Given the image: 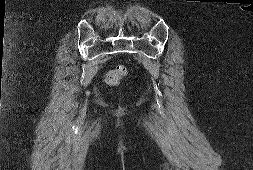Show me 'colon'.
I'll use <instances>...</instances> for the list:
<instances>
[{"instance_id": "obj_1", "label": "colon", "mask_w": 253, "mask_h": 170, "mask_svg": "<svg viewBox=\"0 0 253 170\" xmlns=\"http://www.w3.org/2000/svg\"><path fill=\"white\" fill-rule=\"evenodd\" d=\"M127 75V68L119 65L115 69L109 71L105 76V82L108 85H117Z\"/></svg>"}]
</instances>
